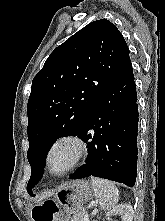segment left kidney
I'll list each match as a JSON object with an SVG mask.
<instances>
[{"mask_svg": "<svg viewBox=\"0 0 165 221\" xmlns=\"http://www.w3.org/2000/svg\"><path fill=\"white\" fill-rule=\"evenodd\" d=\"M133 208L130 204H120L112 208L107 216L121 215L122 221H133Z\"/></svg>", "mask_w": 165, "mask_h": 221, "instance_id": "1", "label": "left kidney"}]
</instances>
